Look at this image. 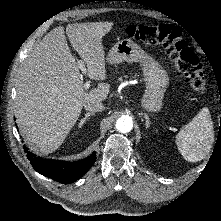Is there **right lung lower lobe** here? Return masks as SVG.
<instances>
[{"mask_svg":"<svg viewBox=\"0 0 221 221\" xmlns=\"http://www.w3.org/2000/svg\"><path fill=\"white\" fill-rule=\"evenodd\" d=\"M24 152L30 160L32 167L40 174L60 183H73L81 178L96 161V153L77 162L48 160L33 155L24 145Z\"/></svg>","mask_w":221,"mask_h":221,"instance_id":"98d812e1","label":"right lung lower lobe"}]
</instances>
